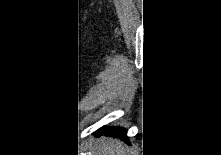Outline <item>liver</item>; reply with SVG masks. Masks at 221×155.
Wrapping results in <instances>:
<instances>
[{
  "mask_svg": "<svg viewBox=\"0 0 221 155\" xmlns=\"http://www.w3.org/2000/svg\"><path fill=\"white\" fill-rule=\"evenodd\" d=\"M91 155H129L123 143L116 139H100L90 146Z\"/></svg>",
  "mask_w": 221,
  "mask_h": 155,
  "instance_id": "obj_1",
  "label": "liver"
}]
</instances>
